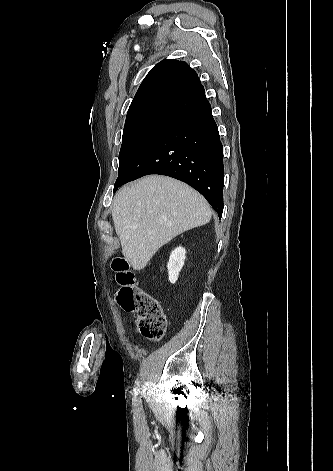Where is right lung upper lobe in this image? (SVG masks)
<instances>
[{
  "mask_svg": "<svg viewBox=\"0 0 333 471\" xmlns=\"http://www.w3.org/2000/svg\"><path fill=\"white\" fill-rule=\"evenodd\" d=\"M205 97L197 73L186 62L164 59L141 83L127 113L177 118Z\"/></svg>",
  "mask_w": 333,
  "mask_h": 471,
  "instance_id": "1",
  "label": "right lung upper lobe"
}]
</instances>
